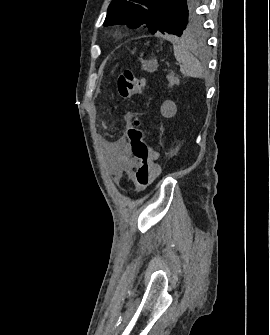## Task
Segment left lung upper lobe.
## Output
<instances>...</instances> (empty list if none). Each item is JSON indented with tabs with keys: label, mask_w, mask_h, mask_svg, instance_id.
Listing matches in <instances>:
<instances>
[{
	"label": "left lung upper lobe",
	"mask_w": 270,
	"mask_h": 335,
	"mask_svg": "<svg viewBox=\"0 0 270 335\" xmlns=\"http://www.w3.org/2000/svg\"><path fill=\"white\" fill-rule=\"evenodd\" d=\"M195 0H113L108 7L104 26L144 25L151 33L187 36L200 31L201 20Z\"/></svg>",
	"instance_id": "5c2ea615"
}]
</instances>
